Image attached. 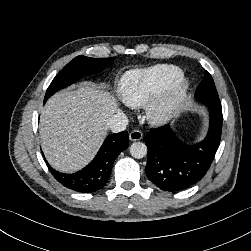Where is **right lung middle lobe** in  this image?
I'll return each mask as SVG.
<instances>
[{
	"instance_id": "dd1d6c3e",
	"label": "right lung middle lobe",
	"mask_w": 251,
	"mask_h": 251,
	"mask_svg": "<svg viewBox=\"0 0 251 251\" xmlns=\"http://www.w3.org/2000/svg\"><path fill=\"white\" fill-rule=\"evenodd\" d=\"M107 62L108 58H90L82 55L75 57L52 80L45 94L44 103L55 92L73 84L81 77L102 71Z\"/></svg>"
}]
</instances>
